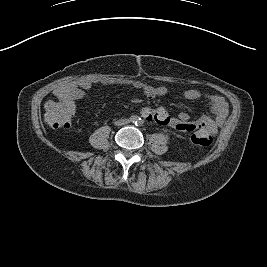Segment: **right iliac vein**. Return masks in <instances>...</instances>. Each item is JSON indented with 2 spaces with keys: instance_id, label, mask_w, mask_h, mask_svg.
Wrapping results in <instances>:
<instances>
[{
  "instance_id": "1",
  "label": "right iliac vein",
  "mask_w": 267,
  "mask_h": 267,
  "mask_svg": "<svg viewBox=\"0 0 267 267\" xmlns=\"http://www.w3.org/2000/svg\"><path fill=\"white\" fill-rule=\"evenodd\" d=\"M117 125H118V126L122 125L121 121H119V122L117 123Z\"/></svg>"
}]
</instances>
